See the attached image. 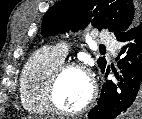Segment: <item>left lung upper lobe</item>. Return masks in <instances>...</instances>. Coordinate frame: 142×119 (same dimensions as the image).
I'll return each mask as SVG.
<instances>
[{
	"label": "left lung upper lobe",
	"mask_w": 142,
	"mask_h": 119,
	"mask_svg": "<svg viewBox=\"0 0 142 119\" xmlns=\"http://www.w3.org/2000/svg\"><path fill=\"white\" fill-rule=\"evenodd\" d=\"M141 17L140 6L134 0H62L45 13L42 33L51 36L69 29L79 31L91 22L117 37L140 23ZM97 63L103 71L105 58L100 57Z\"/></svg>",
	"instance_id": "1"
}]
</instances>
